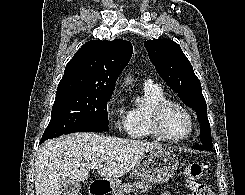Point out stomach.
I'll return each mask as SVG.
<instances>
[{
    "label": "stomach",
    "mask_w": 245,
    "mask_h": 195,
    "mask_svg": "<svg viewBox=\"0 0 245 195\" xmlns=\"http://www.w3.org/2000/svg\"><path fill=\"white\" fill-rule=\"evenodd\" d=\"M179 167V159L172 149L159 148L144 153L133 170L134 175L147 183H163L172 178ZM114 188L119 180L111 181Z\"/></svg>",
    "instance_id": "0dacf381"
}]
</instances>
